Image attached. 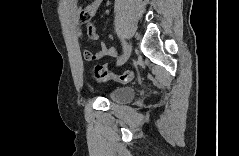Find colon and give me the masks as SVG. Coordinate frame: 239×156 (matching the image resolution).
Segmentation results:
<instances>
[{"label":"colon","mask_w":239,"mask_h":156,"mask_svg":"<svg viewBox=\"0 0 239 156\" xmlns=\"http://www.w3.org/2000/svg\"><path fill=\"white\" fill-rule=\"evenodd\" d=\"M79 18L83 22H87L90 20V16L86 11H82L80 13ZM93 72H94V76L96 77V79H98L100 81L113 79V80L120 81L122 83H126L131 79V73H129V72L115 73V72L109 70L107 67H103V66L95 67Z\"/></svg>","instance_id":"1"}]
</instances>
